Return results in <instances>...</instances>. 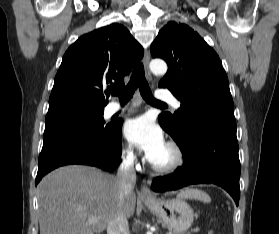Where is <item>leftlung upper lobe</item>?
Here are the masks:
<instances>
[{
	"mask_svg": "<svg viewBox=\"0 0 279 234\" xmlns=\"http://www.w3.org/2000/svg\"><path fill=\"white\" fill-rule=\"evenodd\" d=\"M153 58H162L168 71L159 87H167L181 102L174 115L161 113V127L186 147L190 124L202 118L234 120V103L227 75L216 52L189 26L170 21L150 47Z\"/></svg>",
	"mask_w": 279,
	"mask_h": 234,
	"instance_id": "obj_1",
	"label": "left lung upper lobe"
}]
</instances>
